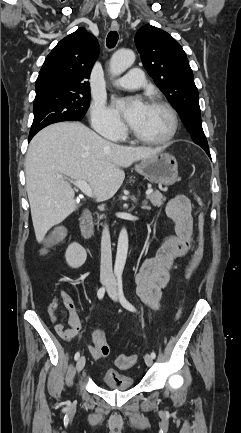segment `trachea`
<instances>
[{
  "mask_svg": "<svg viewBox=\"0 0 241 433\" xmlns=\"http://www.w3.org/2000/svg\"><path fill=\"white\" fill-rule=\"evenodd\" d=\"M117 41H118V33L116 31H110L106 39L107 47L108 48L115 47Z\"/></svg>",
  "mask_w": 241,
  "mask_h": 433,
  "instance_id": "3493384b",
  "label": "trachea"
}]
</instances>
